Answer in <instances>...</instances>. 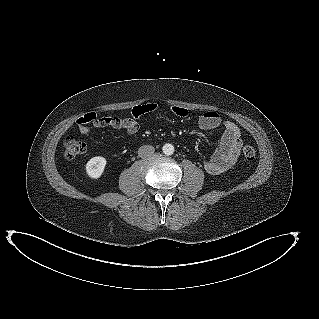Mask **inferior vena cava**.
Returning <instances> with one entry per match:
<instances>
[{
	"label": "inferior vena cava",
	"mask_w": 319,
	"mask_h": 319,
	"mask_svg": "<svg viewBox=\"0 0 319 319\" xmlns=\"http://www.w3.org/2000/svg\"><path fill=\"white\" fill-rule=\"evenodd\" d=\"M155 151V148L152 145H143L138 150V155L141 158L148 157L149 155H152Z\"/></svg>",
	"instance_id": "1"
}]
</instances>
